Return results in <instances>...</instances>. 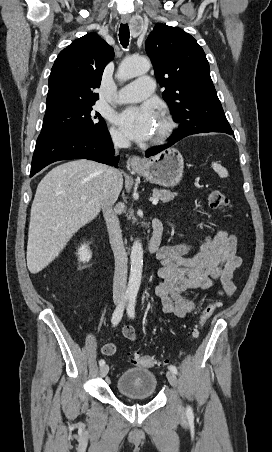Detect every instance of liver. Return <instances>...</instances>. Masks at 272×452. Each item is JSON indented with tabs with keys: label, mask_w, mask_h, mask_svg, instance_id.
Here are the masks:
<instances>
[{
	"label": "liver",
	"mask_w": 272,
	"mask_h": 452,
	"mask_svg": "<svg viewBox=\"0 0 272 452\" xmlns=\"http://www.w3.org/2000/svg\"><path fill=\"white\" fill-rule=\"evenodd\" d=\"M107 166L80 159L53 168L38 184L31 207L27 266L32 274L59 256L72 236L97 217ZM123 187L120 172L115 184Z\"/></svg>",
	"instance_id": "1"
}]
</instances>
